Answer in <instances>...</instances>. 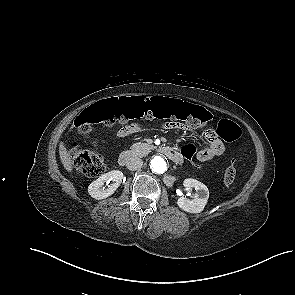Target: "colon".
<instances>
[{"label": "colon", "mask_w": 295, "mask_h": 295, "mask_svg": "<svg viewBox=\"0 0 295 295\" xmlns=\"http://www.w3.org/2000/svg\"><path fill=\"white\" fill-rule=\"evenodd\" d=\"M140 117L158 118L170 121H182L190 127L206 126L212 115L203 107L174 99L164 98H133L97 103L82 111L74 121L75 131L83 137L90 135L92 126L103 123L112 126L116 123H126ZM217 134L226 141H235L241 136L240 127L227 119L218 122ZM180 155L187 163L197 170H206V163H199L194 158L197 150L192 145H185ZM70 157L76 169L87 177H97L105 171V163L101 155L82 149L73 144ZM237 170L232 163L224 173V183L230 185L236 178Z\"/></svg>", "instance_id": "colon-1"}]
</instances>
